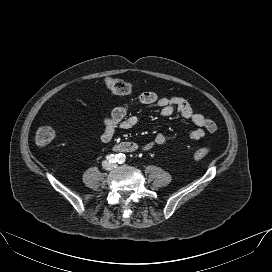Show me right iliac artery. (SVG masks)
I'll return each mask as SVG.
<instances>
[{"label":"right iliac artery","instance_id":"82829eb1","mask_svg":"<svg viewBox=\"0 0 272 272\" xmlns=\"http://www.w3.org/2000/svg\"><path fill=\"white\" fill-rule=\"evenodd\" d=\"M118 157L119 155L116 154H110L106 156V159L110 162V163H116L118 161Z\"/></svg>","mask_w":272,"mask_h":272}]
</instances>
